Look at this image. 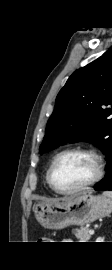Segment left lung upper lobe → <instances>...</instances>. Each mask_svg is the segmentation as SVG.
Listing matches in <instances>:
<instances>
[{"label":"left lung upper lobe","instance_id":"obj_1","mask_svg":"<svg viewBox=\"0 0 112 270\" xmlns=\"http://www.w3.org/2000/svg\"><path fill=\"white\" fill-rule=\"evenodd\" d=\"M87 141L112 155V47L76 70L60 90L40 152Z\"/></svg>","mask_w":112,"mask_h":270}]
</instances>
